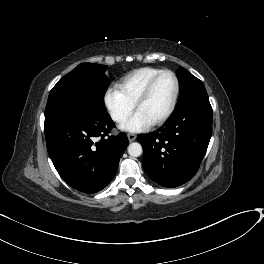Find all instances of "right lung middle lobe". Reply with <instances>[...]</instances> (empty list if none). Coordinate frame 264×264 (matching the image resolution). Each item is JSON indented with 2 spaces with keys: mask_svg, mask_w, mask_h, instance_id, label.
I'll return each mask as SVG.
<instances>
[{
  "mask_svg": "<svg viewBox=\"0 0 264 264\" xmlns=\"http://www.w3.org/2000/svg\"><path fill=\"white\" fill-rule=\"evenodd\" d=\"M106 65L82 63L52 88L45 118L84 109L107 111L104 95L108 89Z\"/></svg>",
  "mask_w": 264,
  "mask_h": 264,
  "instance_id": "obj_1",
  "label": "right lung middle lobe"
}]
</instances>
